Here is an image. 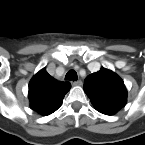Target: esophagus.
I'll return each instance as SVG.
<instances>
[{
    "label": "esophagus",
    "mask_w": 145,
    "mask_h": 145,
    "mask_svg": "<svg viewBox=\"0 0 145 145\" xmlns=\"http://www.w3.org/2000/svg\"><path fill=\"white\" fill-rule=\"evenodd\" d=\"M71 84L74 86H81L83 83L81 80H77V81H71Z\"/></svg>",
    "instance_id": "esophagus-1"
}]
</instances>
